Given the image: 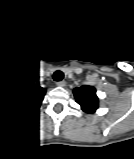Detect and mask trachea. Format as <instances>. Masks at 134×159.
<instances>
[{
    "mask_svg": "<svg viewBox=\"0 0 134 159\" xmlns=\"http://www.w3.org/2000/svg\"><path fill=\"white\" fill-rule=\"evenodd\" d=\"M54 79L56 81H61L63 79V73L61 71H56L54 73Z\"/></svg>",
    "mask_w": 134,
    "mask_h": 159,
    "instance_id": "1",
    "label": "trachea"
}]
</instances>
